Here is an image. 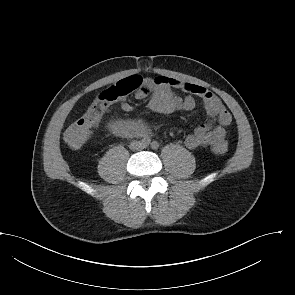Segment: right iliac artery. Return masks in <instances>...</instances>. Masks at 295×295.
Here are the masks:
<instances>
[{
  "label": "right iliac artery",
  "instance_id": "right-iliac-artery-1",
  "mask_svg": "<svg viewBox=\"0 0 295 295\" xmlns=\"http://www.w3.org/2000/svg\"><path fill=\"white\" fill-rule=\"evenodd\" d=\"M150 142H151V139H150L149 137H144V138L142 139V143H143L144 145H149Z\"/></svg>",
  "mask_w": 295,
  "mask_h": 295
}]
</instances>
